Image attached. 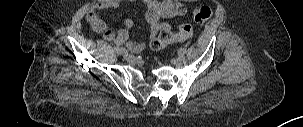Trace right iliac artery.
Segmentation results:
<instances>
[{
    "label": "right iliac artery",
    "mask_w": 303,
    "mask_h": 127,
    "mask_svg": "<svg viewBox=\"0 0 303 127\" xmlns=\"http://www.w3.org/2000/svg\"><path fill=\"white\" fill-rule=\"evenodd\" d=\"M114 49L117 54H123L126 52V50L124 48L115 47Z\"/></svg>",
    "instance_id": "obj_1"
}]
</instances>
